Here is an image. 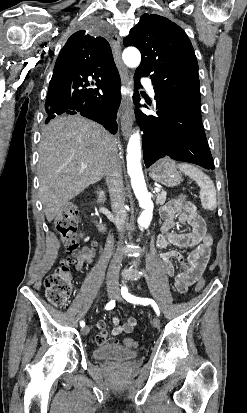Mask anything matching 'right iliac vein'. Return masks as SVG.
<instances>
[{
	"instance_id": "1",
	"label": "right iliac vein",
	"mask_w": 247,
	"mask_h": 413,
	"mask_svg": "<svg viewBox=\"0 0 247 413\" xmlns=\"http://www.w3.org/2000/svg\"><path fill=\"white\" fill-rule=\"evenodd\" d=\"M116 292V287L114 285L107 286V295L109 298H112ZM82 335L86 336L89 333V327L85 326L81 329Z\"/></svg>"
}]
</instances>
